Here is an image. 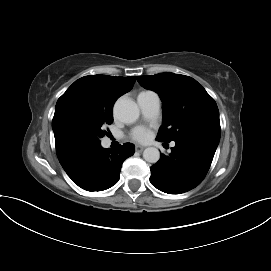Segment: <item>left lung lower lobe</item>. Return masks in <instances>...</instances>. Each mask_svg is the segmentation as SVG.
Here are the masks:
<instances>
[{"label": "left lung lower lobe", "instance_id": "left-lung-lower-lobe-1", "mask_svg": "<svg viewBox=\"0 0 271 271\" xmlns=\"http://www.w3.org/2000/svg\"><path fill=\"white\" fill-rule=\"evenodd\" d=\"M175 143L171 154H162L150 168L152 185L169 194L184 193L198 186L206 176L218 146L217 142L194 137H185Z\"/></svg>", "mask_w": 271, "mask_h": 271}]
</instances>
